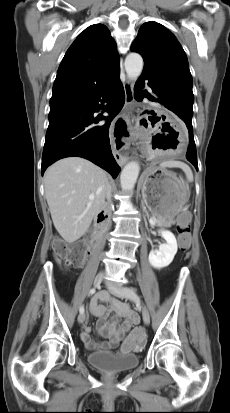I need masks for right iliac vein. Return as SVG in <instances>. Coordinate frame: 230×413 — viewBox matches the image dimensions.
<instances>
[{"mask_svg":"<svg viewBox=\"0 0 230 413\" xmlns=\"http://www.w3.org/2000/svg\"><path fill=\"white\" fill-rule=\"evenodd\" d=\"M103 278H104V274H103V273L97 274V276H96L95 279H94V285H95L96 287H98V286L101 284V282L103 281ZM84 321H85V314H84V313H80L79 316H78V322H79V323H83Z\"/></svg>","mask_w":230,"mask_h":413,"instance_id":"right-iliac-vein-1","label":"right iliac vein"}]
</instances>
